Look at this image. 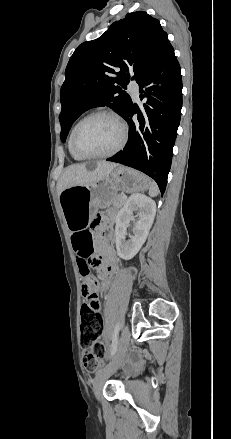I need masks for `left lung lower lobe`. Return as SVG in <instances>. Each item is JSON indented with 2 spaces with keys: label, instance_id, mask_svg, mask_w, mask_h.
I'll return each instance as SVG.
<instances>
[{
  "label": "left lung lower lobe",
  "instance_id": "obj_1",
  "mask_svg": "<svg viewBox=\"0 0 231 439\" xmlns=\"http://www.w3.org/2000/svg\"><path fill=\"white\" fill-rule=\"evenodd\" d=\"M137 83L141 100L146 99L144 109L141 111L131 102L122 116L130 127L128 143L107 160L147 174L157 182L163 194L182 108L180 65L172 46ZM134 114L138 115L137 121L132 120Z\"/></svg>",
  "mask_w": 231,
  "mask_h": 439
}]
</instances>
